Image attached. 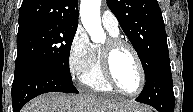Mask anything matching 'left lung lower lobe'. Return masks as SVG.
Wrapping results in <instances>:
<instances>
[{"mask_svg":"<svg viewBox=\"0 0 193 112\" xmlns=\"http://www.w3.org/2000/svg\"><path fill=\"white\" fill-rule=\"evenodd\" d=\"M136 101L153 106L159 112H174L175 97L168 52L154 64Z\"/></svg>","mask_w":193,"mask_h":112,"instance_id":"left-lung-lower-lobe-1","label":"left lung lower lobe"}]
</instances>
